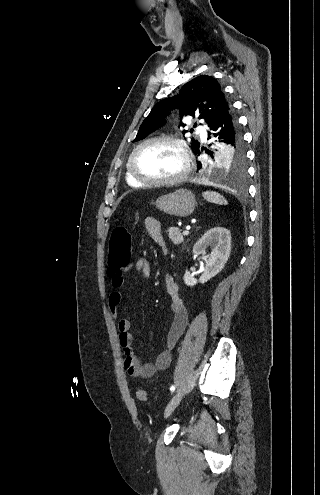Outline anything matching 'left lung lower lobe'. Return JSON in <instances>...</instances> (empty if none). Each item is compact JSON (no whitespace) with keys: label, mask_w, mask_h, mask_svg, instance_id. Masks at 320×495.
I'll return each instance as SVG.
<instances>
[{"label":"left lung lower lobe","mask_w":320,"mask_h":495,"mask_svg":"<svg viewBox=\"0 0 320 495\" xmlns=\"http://www.w3.org/2000/svg\"><path fill=\"white\" fill-rule=\"evenodd\" d=\"M237 119L232 112V109L221 114L214 123L210 126V131L208 132V139L215 137L217 144L225 143L226 141H231L234 139V135L237 130ZM200 155V152H196ZM199 168H201V163L199 162Z\"/></svg>","instance_id":"1"}]
</instances>
